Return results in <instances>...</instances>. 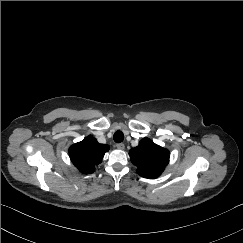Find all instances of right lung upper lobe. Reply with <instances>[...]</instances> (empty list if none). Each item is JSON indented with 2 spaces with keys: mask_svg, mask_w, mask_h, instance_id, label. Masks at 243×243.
<instances>
[{
  "mask_svg": "<svg viewBox=\"0 0 243 243\" xmlns=\"http://www.w3.org/2000/svg\"><path fill=\"white\" fill-rule=\"evenodd\" d=\"M109 149L108 145L99 144L94 137L89 135L69 148V156L80 172L91 174L95 171V165L102 162L104 154Z\"/></svg>",
  "mask_w": 243,
  "mask_h": 243,
  "instance_id": "1",
  "label": "right lung upper lobe"
}]
</instances>
